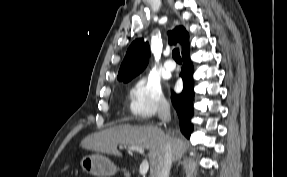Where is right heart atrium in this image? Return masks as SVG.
Returning a JSON list of instances; mask_svg holds the SVG:
<instances>
[{"label": "right heart atrium", "instance_id": "obj_1", "mask_svg": "<svg viewBox=\"0 0 287 177\" xmlns=\"http://www.w3.org/2000/svg\"><path fill=\"white\" fill-rule=\"evenodd\" d=\"M129 97L133 111L146 119L163 113L166 109L161 82L154 75L138 79L130 87Z\"/></svg>", "mask_w": 287, "mask_h": 177}]
</instances>
